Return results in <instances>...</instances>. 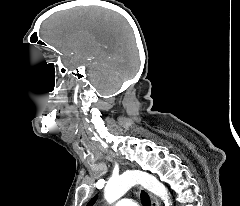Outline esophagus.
Returning <instances> with one entry per match:
<instances>
[{
  "label": "esophagus",
  "mask_w": 240,
  "mask_h": 206,
  "mask_svg": "<svg viewBox=\"0 0 240 206\" xmlns=\"http://www.w3.org/2000/svg\"><path fill=\"white\" fill-rule=\"evenodd\" d=\"M148 195H149L152 206H160L159 200L155 195H153L150 192H148Z\"/></svg>",
  "instance_id": "obj_1"
}]
</instances>
